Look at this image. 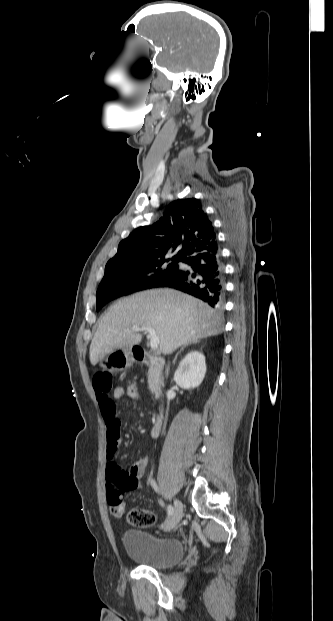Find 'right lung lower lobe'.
Listing matches in <instances>:
<instances>
[{"label":"right lung lower lobe","mask_w":333,"mask_h":621,"mask_svg":"<svg viewBox=\"0 0 333 621\" xmlns=\"http://www.w3.org/2000/svg\"><path fill=\"white\" fill-rule=\"evenodd\" d=\"M181 261L191 268L178 269L159 287L174 288L202 299L213 308H222L225 272L217 243L202 251L190 253Z\"/></svg>","instance_id":"right-lung-lower-lobe-1"}]
</instances>
